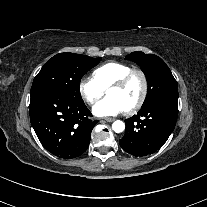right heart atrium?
<instances>
[{"label":"right heart atrium","instance_id":"right-heart-atrium-1","mask_svg":"<svg viewBox=\"0 0 207 207\" xmlns=\"http://www.w3.org/2000/svg\"><path fill=\"white\" fill-rule=\"evenodd\" d=\"M105 90L96 82L93 77L83 78L79 82V93L83 100L92 105L97 102Z\"/></svg>","mask_w":207,"mask_h":207}]
</instances>
